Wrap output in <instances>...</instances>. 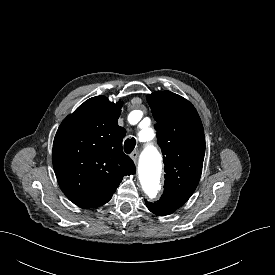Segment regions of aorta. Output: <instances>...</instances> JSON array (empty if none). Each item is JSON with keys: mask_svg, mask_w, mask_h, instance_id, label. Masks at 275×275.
I'll list each match as a JSON object with an SVG mask.
<instances>
[{"mask_svg": "<svg viewBox=\"0 0 275 275\" xmlns=\"http://www.w3.org/2000/svg\"><path fill=\"white\" fill-rule=\"evenodd\" d=\"M161 157L157 150L149 147L140 164V182L150 200H156L160 190Z\"/></svg>", "mask_w": 275, "mask_h": 275, "instance_id": "aorta-1", "label": "aorta"}]
</instances>
